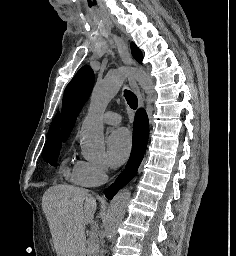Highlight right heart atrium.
Instances as JSON below:
<instances>
[{
	"label": "right heart atrium",
	"mask_w": 236,
	"mask_h": 256,
	"mask_svg": "<svg viewBox=\"0 0 236 256\" xmlns=\"http://www.w3.org/2000/svg\"><path fill=\"white\" fill-rule=\"evenodd\" d=\"M70 179L75 185L86 188L101 186L108 180V165L103 159H77L73 164Z\"/></svg>",
	"instance_id": "1"
}]
</instances>
